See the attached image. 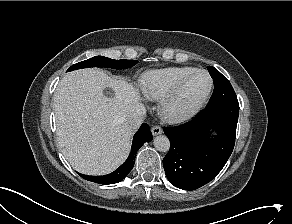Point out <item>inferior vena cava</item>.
<instances>
[{
	"label": "inferior vena cava",
	"instance_id": "1",
	"mask_svg": "<svg viewBox=\"0 0 292 224\" xmlns=\"http://www.w3.org/2000/svg\"><path fill=\"white\" fill-rule=\"evenodd\" d=\"M146 109L143 104H135L131 111L128 113V123L129 125L136 129L145 117Z\"/></svg>",
	"mask_w": 292,
	"mask_h": 224
}]
</instances>
